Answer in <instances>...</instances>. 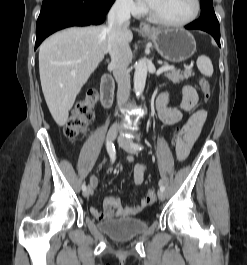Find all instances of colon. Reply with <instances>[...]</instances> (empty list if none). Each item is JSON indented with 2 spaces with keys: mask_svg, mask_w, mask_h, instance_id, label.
I'll use <instances>...</instances> for the list:
<instances>
[{
  "mask_svg": "<svg viewBox=\"0 0 247 265\" xmlns=\"http://www.w3.org/2000/svg\"><path fill=\"white\" fill-rule=\"evenodd\" d=\"M199 86L203 93L204 100H209L211 97V91L207 79L201 78L199 80ZM96 101V94L94 92H89L83 100L76 104L66 122L64 129V134L69 140H74L86 132L88 124L94 116ZM180 131V127L176 128L171 140L172 147L176 153L180 142ZM145 200L147 204H153L156 200V191L154 189H150L147 192Z\"/></svg>",
  "mask_w": 247,
  "mask_h": 265,
  "instance_id": "1",
  "label": "colon"
}]
</instances>
